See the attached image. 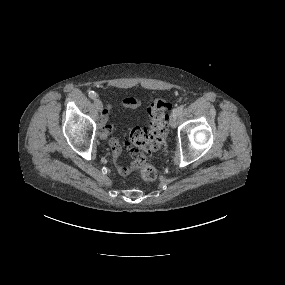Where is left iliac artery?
<instances>
[{
  "mask_svg": "<svg viewBox=\"0 0 285 285\" xmlns=\"http://www.w3.org/2000/svg\"><path fill=\"white\" fill-rule=\"evenodd\" d=\"M184 109L183 105L178 106L176 109L173 110V113H176L177 115H180Z\"/></svg>",
  "mask_w": 285,
  "mask_h": 285,
  "instance_id": "left-iliac-artery-1",
  "label": "left iliac artery"
}]
</instances>
